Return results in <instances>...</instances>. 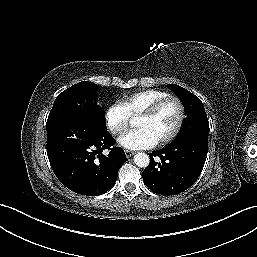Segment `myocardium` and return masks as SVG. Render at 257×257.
I'll return each instance as SVG.
<instances>
[{"mask_svg":"<svg viewBox=\"0 0 257 257\" xmlns=\"http://www.w3.org/2000/svg\"><path fill=\"white\" fill-rule=\"evenodd\" d=\"M175 102L177 107H178V119L176 122L175 127L173 128V130L166 135L165 137L161 138L158 143L159 144H166L169 143L171 141H173L179 134L184 120H185V107L184 104L182 102V100L175 96V95H168L158 101H156L155 103H153L150 107H148L146 110H144L139 117H153L155 116L167 103L169 102Z\"/></svg>","mask_w":257,"mask_h":257,"instance_id":"f54148a6","label":"myocardium"}]
</instances>
